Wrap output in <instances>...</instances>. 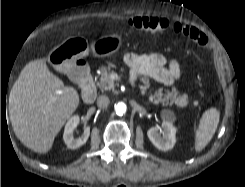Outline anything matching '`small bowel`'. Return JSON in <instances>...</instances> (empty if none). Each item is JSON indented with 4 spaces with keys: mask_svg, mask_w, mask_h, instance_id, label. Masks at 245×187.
Wrapping results in <instances>:
<instances>
[{
    "mask_svg": "<svg viewBox=\"0 0 245 187\" xmlns=\"http://www.w3.org/2000/svg\"><path fill=\"white\" fill-rule=\"evenodd\" d=\"M124 61L130 69L132 81L137 80L140 76H147L153 82L171 85L180 77L178 62L167 61L161 54L129 53L125 56Z\"/></svg>",
    "mask_w": 245,
    "mask_h": 187,
    "instance_id": "c3829d8e",
    "label": "small bowel"
}]
</instances>
